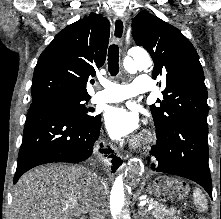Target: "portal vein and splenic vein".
<instances>
[{"label": "portal vein and splenic vein", "mask_w": 221, "mask_h": 219, "mask_svg": "<svg viewBox=\"0 0 221 219\" xmlns=\"http://www.w3.org/2000/svg\"><path fill=\"white\" fill-rule=\"evenodd\" d=\"M144 204V202H142V205ZM153 209V205L152 204H150L149 205V207H148V210L150 211V210H152Z\"/></svg>", "instance_id": "obj_1"}]
</instances>
